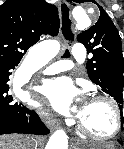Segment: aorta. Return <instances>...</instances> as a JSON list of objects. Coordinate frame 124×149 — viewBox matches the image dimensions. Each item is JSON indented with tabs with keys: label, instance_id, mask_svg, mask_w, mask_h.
Returning a JSON list of instances; mask_svg holds the SVG:
<instances>
[{
	"label": "aorta",
	"instance_id": "aorta-1",
	"mask_svg": "<svg viewBox=\"0 0 124 149\" xmlns=\"http://www.w3.org/2000/svg\"><path fill=\"white\" fill-rule=\"evenodd\" d=\"M73 18L75 25L78 29H85L90 26L91 21L83 9L75 10L73 13ZM45 46H48L53 49H58L59 44L56 41H48L44 43ZM31 66V61H27L15 74V86L21 85L25 82L28 74L29 67ZM68 147V137L63 130H57L50 137L45 149H67Z\"/></svg>",
	"mask_w": 124,
	"mask_h": 149
}]
</instances>
